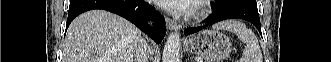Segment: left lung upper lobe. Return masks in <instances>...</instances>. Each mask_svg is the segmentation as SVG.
<instances>
[{
    "instance_id": "5c2ea615",
    "label": "left lung upper lobe",
    "mask_w": 331,
    "mask_h": 62,
    "mask_svg": "<svg viewBox=\"0 0 331 62\" xmlns=\"http://www.w3.org/2000/svg\"><path fill=\"white\" fill-rule=\"evenodd\" d=\"M233 1H244V2H248L250 4L257 5L256 0H215V3H216V6L220 7V6H224Z\"/></svg>"
}]
</instances>
